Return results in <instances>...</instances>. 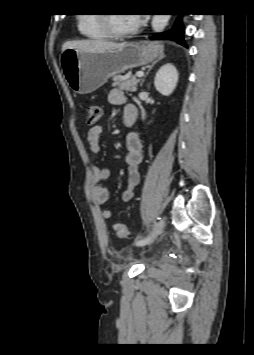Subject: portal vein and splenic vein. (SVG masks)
Masks as SVG:
<instances>
[{"mask_svg": "<svg viewBox=\"0 0 254 355\" xmlns=\"http://www.w3.org/2000/svg\"><path fill=\"white\" fill-rule=\"evenodd\" d=\"M143 75H144V72H142V71H139V72L136 73L137 77H142Z\"/></svg>", "mask_w": 254, "mask_h": 355, "instance_id": "1", "label": "portal vein and splenic vein"}]
</instances>
